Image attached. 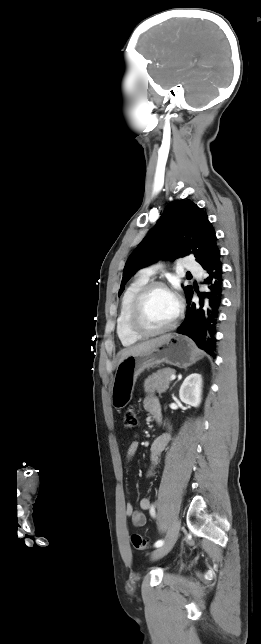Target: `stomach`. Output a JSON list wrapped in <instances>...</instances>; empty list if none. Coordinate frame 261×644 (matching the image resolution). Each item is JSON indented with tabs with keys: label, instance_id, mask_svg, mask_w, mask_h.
Returning <instances> with one entry per match:
<instances>
[{
	"label": "stomach",
	"instance_id": "0dacf381",
	"mask_svg": "<svg viewBox=\"0 0 261 644\" xmlns=\"http://www.w3.org/2000/svg\"><path fill=\"white\" fill-rule=\"evenodd\" d=\"M203 353L185 336L170 335L163 344L148 352L131 355L117 366L111 388L115 409L124 408L132 399L136 380L145 369L163 363L187 368L202 359Z\"/></svg>",
	"mask_w": 261,
	"mask_h": 644
}]
</instances>
